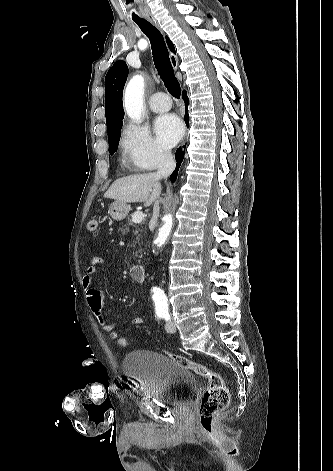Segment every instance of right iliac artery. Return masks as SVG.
<instances>
[{"label":"right iliac artery","mask_w":333,"mask_h":471,"mask_svg":"<svg viewBox=\"0 0 333 471\" xmlns=\"http://www.w3.org/2000/svg\"><path fill=\"white\" fill-rule=\"evenodd\" d=\"M158 317L161 318V315L158 313Z\"/></svg>","instance_id":"right-iliac-artery-1"}]
</instances>
